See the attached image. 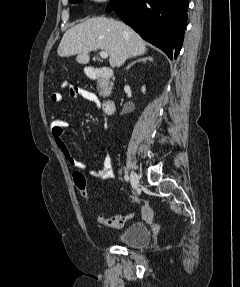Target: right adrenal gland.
I'll use <instances>...</instances> for the list:
<instances>
[{
  "instance_id": "obj_1",
  "label": "right adrenal gland",
  "mask_w": 240,
  "mask_h": 287,
  "mask_svg": "<svg viewBox=\"0 0 240 287\" xmlns=\"http://www.w3.org/2000/svg\"><path fill=\"white\" fill-rule=\"evenodd\" d=\"M152 57H146V58H142V59H137L136 61H133L132 63H130L127 67H126V70H129L131 66H133L135 63H138V62H146V61H152Z\"/></svg>"
}]
</instances>
